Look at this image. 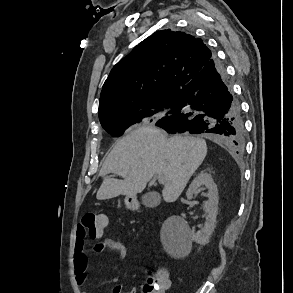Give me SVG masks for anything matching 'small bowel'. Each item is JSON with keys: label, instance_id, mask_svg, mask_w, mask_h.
Wrapping results in <instances>:
<instances>
[{"label": "small bowel", "instance_id": "obj_1", "mask_svg": "<svg viewBox=\"0 0 293 293\" xmlns=\"http://www.w3.org/2000/svg\"><path fill=\"white\" fill-rule=\"evenodd\" d=\"M115 251L118 254L120 259H124L127 256V247L121 241L116 239L102 236L99 238V241L94 244L91 250L86 247V237L83 233V230L78 226L75 237V247H74V256H73V269L76 275L77 281L80 285L85 284L87 277V270L89 267V256L90 253L101 254L105 251ZM171 282L169 280L168 288L170 287ZM83 293H90L89 291H84ZM112 293H139L138 289L132 287L128 290L124 288L123 284H116L112 287Z\"/></svg>", "mask_w": 293, "mask_h": 293}]
</instances>
